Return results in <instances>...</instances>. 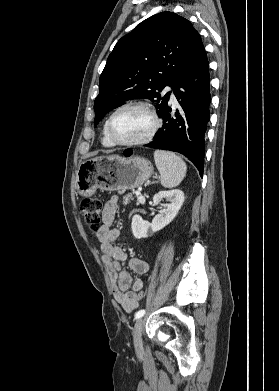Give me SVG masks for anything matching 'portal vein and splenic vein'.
I'll return each instance as SVG.
<instances>
[{
	"instance_id": "obj_1",
	"label": "portal vein and splenic vein",
	"mask_w": 279,
	"mask_h": 391,
	"mask_svg": "<svg viewBox=\"0 0 279 391\" xmlns=\"http://www.w3.org/2000/svg\"><path fill=\"white\" fill-rule=\"evenodd\" d=\"M135 194L138 196V195L141 194V192L140 191H136Z\"/></svg>"
}]
</instances>
